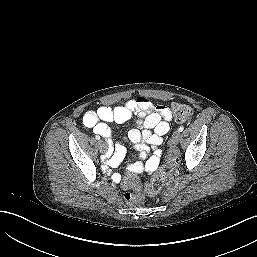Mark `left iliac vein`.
Segmentation results:
<instances>
[{"label": "left iliac vein", "instance_id": "4c4485c4", "mask_svg": "<svg viewBox=\"0 0 257 257\" xmlns=\"http://www.w3.org/2000/svg\"><path fill=\"white\" fill-rule=\"evenodd\" d=\"M180 138H181V133L180 131H175L173 133V136H172V139H171V143L172 144H177L179 141H180Z\"/></svg>", "mask_w": 257, "mask_h": 257}]
</instances>
